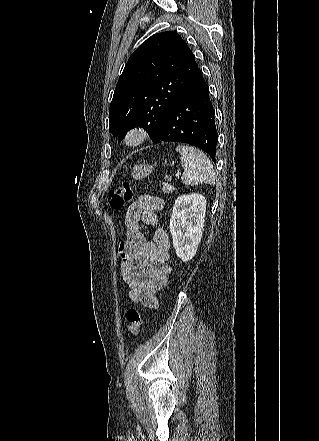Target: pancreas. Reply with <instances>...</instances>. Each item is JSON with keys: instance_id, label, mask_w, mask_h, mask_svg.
Instances as JSON below:
<instances>
[{"instance_id": "obj_1", "label": "pancreas", "mask_w": 319, "mask_h": 441, "mask_svg": "<svg viewBox=\"0 0 319 441\" xmlns=\"http://www.w3.org/2000/svg\"><path fill=\"white\" fill-rule=\"evenodd\" d=\"M174 190H175V188L172 185H170L168 183H163L162 184V191L164 193L169 194V193H172Z\"/></svg>"}]
</instances>
